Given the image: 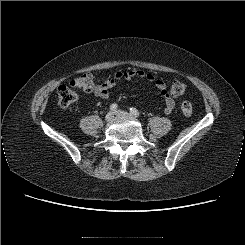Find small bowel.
<instances>
[{
  "label": "small bowel",
  "instance_id": "obj_1",
  "mask_svg": "<svg viewBox=\"0 0 245 245\" xmlns=\"http://www.w3.org/2000/svg\"><path fill=\"white\" fill-rule=\"evenodd\" d=\"M134 78L143 79L148 83H153L156 88V93L164 99V111L170 114L175 108V100L169 94L166 83L157 79L153 74L146 73L141 69H130L127 71H120L113 74L111 77L103 80L97 86L94 96L99 98H108L110 90L121 80H131Z\"/></svg>",
  "mask_w": 245,
  "mask_h": 245
}]
</instances>
